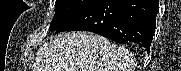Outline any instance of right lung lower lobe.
Returning <instances> with one entry per match:
<instances>
[{"label": "right lung lower lobe", "instance_id": "right-lung-lower-lobe-1", "mask_svg": "<svg viewBox=\"0 0 181 71\" xmlns=\"http://www.w3.org/2000/svg\"><path fill=\"white\" fill-rule=\"evenodd\" d=\"M158 9L159 0H94L56 33L90 31L121 44L137 43L149 53Z\"/></svg>", "mask_w": 181, "mask_h": 71}]
</instances>
